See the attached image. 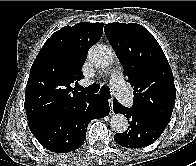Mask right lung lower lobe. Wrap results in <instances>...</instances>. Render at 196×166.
Segmentation results:
<instances>
[{
	"instance_id": "1",
	"label": "right lung lower lobe",
	"mask_w": 196,
	"mask_h": 166,
	"mask_svg": "<svg viewBox=\"0 0 196 166\" xmlns=\"http://www.w3.org/2000/svg\"><path fill=\"white\" fill-rule=\"evenodd\" d=\"M108 114L107 99L95 94L60 114L28 122V125L43 147L56 153H68L83 144L92 119Z\"/></svg>"
}]
</instances>
